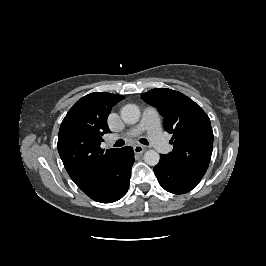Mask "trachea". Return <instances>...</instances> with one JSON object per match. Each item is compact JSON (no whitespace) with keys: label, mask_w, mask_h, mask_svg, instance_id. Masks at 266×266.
<instances>
[{"label":"trachea","mask_w":266,"mask_h":266,"mask_svg":"<svg viewBox=\"0 0 266 266\" xmlns=\"http://www.w3.org/2000/svg\"><path fill=\"white\" fill-rule=\"evenodd\" d=\"M139 142L142 143V144H145V145H149V142H148L147 139H145V138H141V139L139 140ZM124 144H125V141L122 140V139H119V140L116 141V143L114 144V146H115V147H121V146H123Z\"/></svg>","instance_id":"3493384b"}]
</instances>
